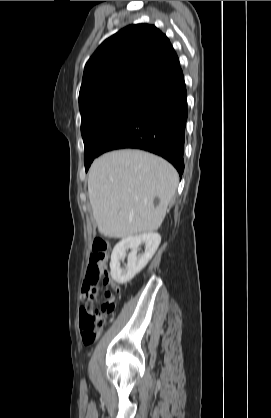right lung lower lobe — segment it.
<instances>
[{"label":"right lung lower lobe","instance_id":"1","mask_svg":"<svg viewBox=\"0 0 271 418\" xmlns=\"http://www.w3.org/2000/svg\"><path fill=\"white\" fill-rule=\"evenodd\" d=\"M187 115V91L182 77L113 133L100 155L121 148L146 150L167 159L181 176Z\"/></svg>","mask_w":271,"mask_h":418}]
</instances>
